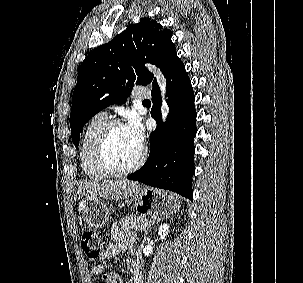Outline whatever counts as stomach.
<instances>
[{"instance_id": "1", "label": "stomach", "mask_w": 303, "mask_h": 283, "mask_svg": "<svg viewBox=\"0 0 303 283\" xmlns=\"http://www.w3.org/2000/svg\"><path fill=\"white\" fill-rule=\"evenodd\" d=\"M133 197L136 209L146 215H167L180 208L176 195L149 187L135 190ZM78 211L83 221L92 228H102L111 214L110 208L101 198H81Z\"/></svg>"}]
</instances>
